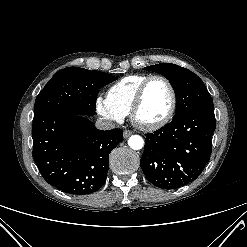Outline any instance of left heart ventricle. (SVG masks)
<instances>
[{
  "mask_svg": "<svg viewBox=\"0 0 247 247\" xmlns=\"http://www.w3.org/2000/svg\"><path fill=\"white\" fill-rule=\"evenodd\" d=\"M171 105V92L167 83L161 79L153 80L145 93L138 111V119L144 123H153L163 118Z\"/></svg>",
  "mask_w": 247,
  "mask_h": 247,
  "instance_id": "left-heart-ventricle-1",
  "label": "left heart ventricle"
}]
</instances>
